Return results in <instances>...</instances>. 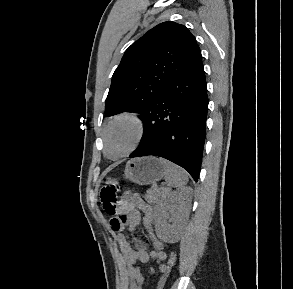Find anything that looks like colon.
Returning a JSON list of instances; mask_svg holds the SVG:
<instances>
[{"label": "colon", "mask_w": 293, "mask_h": 289, "mask_svg": "<svg viewBox=\"0 0 293 289\" xmlns=\"http://www.w3.org/2000/svg\"><path fill=\"white\" fill-rule=\"evenodd\" d=\"M119 183L115 179H107L105 186L100 192V202L105 213L115 216L117 213V201H118ZM114 230H120L122 223L113 218L111 220ZM176 263V254L172 251L168 257L167 262L161 269V277L158 281L157 289H162L165 279Z\"/></svg>", "instance_id": "obj_1"}]
</instances>
